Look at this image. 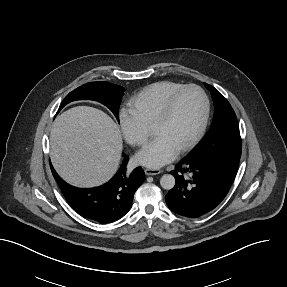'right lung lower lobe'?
Instances as JSON below:
<instances>
[{"label": "right lung lower lobe", "instance_id": "1", "mask_svg": "<svg viewBox=\"0 0 287 287\" xmlns=\"http://www.w3.org/2000/svg\"><path fill=\"white\" fill-rule=\"evenodd\" d=\"M122 165L104 185L82 189L67 184L51 166L52 174L70 206L83 217L98 223L119 220L132 207L136 190L145 180L141 167L127 171L128 156L123 154Z\"/></svg>", "mask_w": 287, "mask_h": 287}]
</instances>
